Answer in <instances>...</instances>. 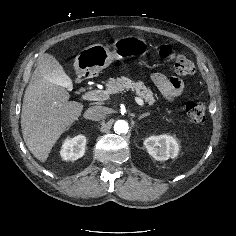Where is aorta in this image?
I'll return each instance as SVG.
<instances>
[{"mask_svg":"<svg viewBox=\"0 0 236 236\" xmlns=\"http://www.w3.org/2000/svg\"><path fill=\"white\" fill-rule=\"evenodd\" d=\"M129 129L128 123L124 120H117L114 124V130L117 133H127Z\"/></svg>","mask_w":236,"mask_h":236,"instance_id":"1","label":"aorta"}]
</instances>
